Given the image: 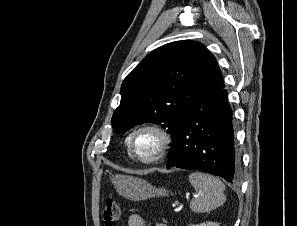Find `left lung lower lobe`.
I'll use <instances>...</instances> for the list:
<instances>
[{"label": "left lung lower lobe", "instance_id": "1", "mask_svg": "<svg viewBox=\"0 0 297 226\" xmlns=\"http://www.w3.org/2000/svg\"><path fill=\"white\" fill-rule=\"evenodd\" d=\"M224 86L206 93L181 123L169 150L167 168L199 170L236 182L232 110Z\"/></svg>", "mask_w": 297, "mask_h": 226}]
</instances>
